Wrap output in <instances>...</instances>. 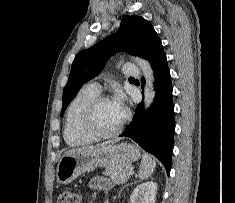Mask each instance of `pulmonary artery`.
Instances as JSON below:
<instances>
[{
	"mask_svg": "<svg viewBox=\"0 0 235 203\" xmlns=\"http://www.w3.org/2000/svg\"><path fill=\"white\" fill-rule=\"evenodd\" d=\"M123 71L126 75L129 76H134L138 74V70L133 64H125L123 67ZM90 86H92L97 91H100L101 89L100 85L96 82L91 83Z\"/></svg>",
	"mask_w": 235,
	"mask_h": 203,
	"instance_id": "1",
	"label": "pulmonary artery"
}]
</instances>
